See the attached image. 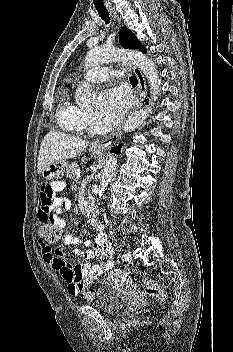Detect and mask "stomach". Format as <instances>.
<instances>
[{
    "label": "stomach",
    "mask_w": 233,
    "mask_h": 352,
    "mask_svg": "<svg viewBox=\"0 0 233 352\" xmlns=\"http://www.w3.org/2000/svg\"><path fill=\"white\" fill-rule=\"evenodd\" d=\"M90 151H91V154L94 156L100 153L99 150L91 149ZM66 168H67V163L65 161H56L54 163L49 164L47 167H45L41 172V176L46 180L58 179L63 175Z\"/></svg>",
    "instance_id": "stomach-1"
}]
</instances>
